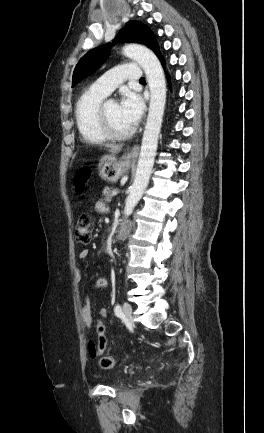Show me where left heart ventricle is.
<instances>
[{
	"mask_svg": "<svg viewBox=\"0 0 264 433\" xmlns=\"http://www.w3.org/2000/svg\"><path fill=\"white\" fill-rule=\"evenodd\" d=\"M107 114L112 127L116 131L125 132L133 127L122 115L119 105L116 102H108Z\"/></svg>",
	"mask_w": 264,
	"mask_h": 433,
	"instance_id": "left-heart-ventricle-1",
	"label": "left heart ventricle"
}]
</instances>
